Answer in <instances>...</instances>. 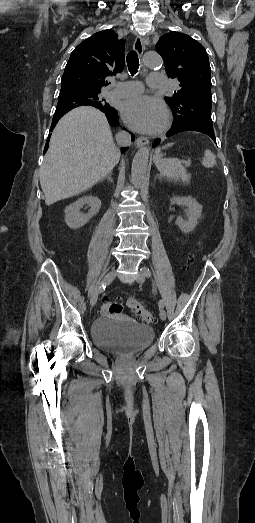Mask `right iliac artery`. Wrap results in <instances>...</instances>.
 <instances>
[{"instance_id": "right-iliac-artery-1", "label": "right iliac artery", "mask_w": 255, "mask_h": 523, "mask_svg": "<svg viewBox=\"0 0 255 523\" xmlns=\"http://www.w3.org/2000/svg\"><path fill=\"white\" fill-rule=\"evenodd\" d=\"M105 287H106V285L102 284V285L100 286V290H101V291L105 290Z\"/></svg>"}]
</instances>
